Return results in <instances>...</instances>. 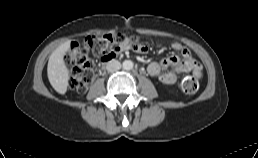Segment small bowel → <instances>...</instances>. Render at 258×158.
<instances>
[{"instance_id":"obj_1","label":"small bowel","mask_w":258,"mask_h":158,"mask_svg":"<svg viewBox=\"0 0 258 158\" xmlns=\"http://www.w3.org/2000/svg\"><path fill=\"white\" fill-rule=\"evenodd\" d=\"M133 49L138 53H147L149 46L141 44ZM172 49L179 52L183 59L181 60L177 56H169L159 62H151L147 67V72L150 76L157 77L162 84L166 85L176 83L179 73L191 72L196 78L202 77V66L192 57L188 48L181 43L175 42L172 44ZM169 68V71L162 72L164 69Z\"/></svg>"}]
</instances>
